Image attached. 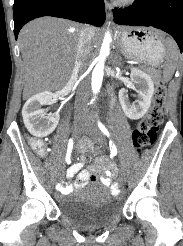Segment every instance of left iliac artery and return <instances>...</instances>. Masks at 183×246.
<instances>
[{
    "label": "left iliac artery",
    "instance_id": "obj_1",
    "mask_svg": "<svg viewBox=\"0 0 183 246\" xmlns=\"http://www.w3.org/2000/svg\"><path fill=\"white\" fill-rule=\"evenodd\" d=\"M98 126L100 128V130L108 137L110 138V133L109 131L107 130V128L100 122L98 121ZM110 149H111V153L112 155H117V148L114 144V142L112 140H110Z\"/></svg>",
    "mask_w": 183,
    "mask_h": 246
}]
</instances>
